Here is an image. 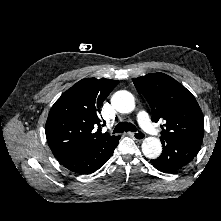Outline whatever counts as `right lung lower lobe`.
I'll return each mask as SVG.
<instances>
[{"label": "right lung lower lobe", "mask_w": 221, "mask_h": 221, "mask_svg": "<svg viewBox=\"0 0 221 221\" xmlns=\"http://www.w3.org/2000/svg\"><path fill=\"white\" fill-rule=\"evenodd\" d=\"M119 138L95 149L73 153L58 159L67 169L79 174H90L98 170L113 154Z\"/></svg>", "instance_id": "98d812e1"}]
</instances>
